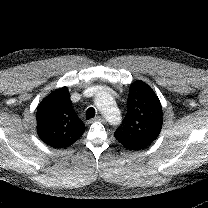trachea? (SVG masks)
<instances>
[{
    "label": "trachea",
    "instance_id": "trachea-1",
    "mask_svg": "<svg viewBox=\"0 0 208 208\" xmlns=\"http://www.w3.org/2000/svg\"><path fill=\"white\" fill-rule=\"evenodd\" d=\"M95 113L96 112H95V109L93 107L88 108L87 111H86V118L88 120L91 119V118H94Z\"/></svg>",
    "mask_w": 208,
    "mask_h": 208
}]
</instances>
